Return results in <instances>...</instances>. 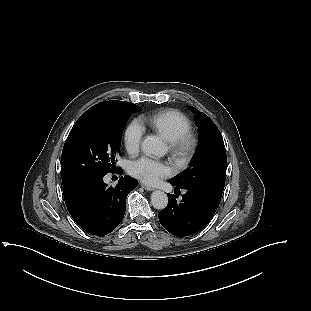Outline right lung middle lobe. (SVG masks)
<instances>
[{"mask_svg":"<svg viewBox=\"0 0 311 311\" xmlns=\"http://www.w3.org/2000/svg\"><path fill=\"white\" fill-rule=\"evenodd\" d=\"M141 107L126 101H106L88 109L72 127L62 151L63 188L113 172L124 125Z\"/></svg>","mask_w":311,"mask_h":311,"instance_id":"1","label":"right lung middle lobe"}]
</instances>
